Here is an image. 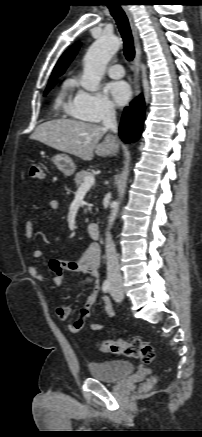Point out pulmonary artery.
Returning a JSON list of instances; mask_svg holds the SVG:
<instances>
[{
    "mask_svg": "<svg viewBox=\"0 0 202 437\" xmlns=\"http://www.w3.org/2000/svg\"><path fill=\"white\" fill-rule=\"evenodd\" d=\"M107 73L111 78H114V79L122 78L125 74L124 68L120 64L111 65L107 69Z\"/></svg>",
    "mask_w": 202,
    "mask_h": 437,
    "instance_id": "obj_1",
    "label": "pulmonary artery"
}]
</instances>
